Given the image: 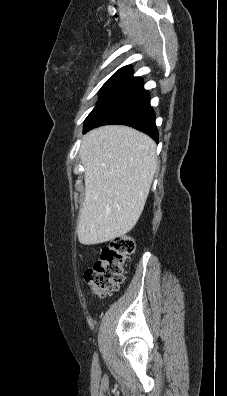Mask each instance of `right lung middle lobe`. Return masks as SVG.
Wrapping results in <instances>:
<instances>
[{"instance_id":"right-lung-middle-lobe-1","label":"right lung middle lobe","mask_w":227,"mask_h":396,"mask_svg":"<svg viewBox=\"0 0 227 396\" xmlns=\"http://www.w3.org/2000/svg\"><path fill=\"white\" fill-rule=\"evenodd\" d=\"M131 76L132 71L125 70H120L113 74L112 77L101 88L100 99L95 108H97L104 100H106L111 94H113Z\"/></svg>"}]
</instances>
